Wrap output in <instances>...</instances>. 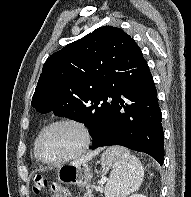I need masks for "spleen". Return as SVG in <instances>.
<instances>
[{
  "label": "spleen",
  "mask_w": 191,
  "mask_h": 197,
  "mask_svg": "<svg viewBox=\"0 0 191 197\" xmlns=\"http://www.w3.org/2000/svg\"><path fill=\"white\" fill-rule=\"evenodd\" d=\"M115 159L114 169L106 187L107 197H127L139 189L144 178V169L140 160L121 146L108 149Z\"/></svg>",
  "instance_id": "spleen-1"
}]
</instances>
